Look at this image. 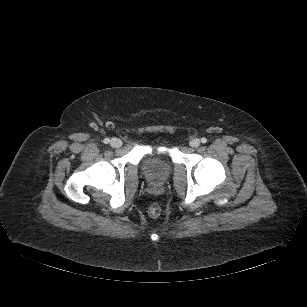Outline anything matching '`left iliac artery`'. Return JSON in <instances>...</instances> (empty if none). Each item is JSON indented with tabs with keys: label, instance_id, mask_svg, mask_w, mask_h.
I'll use <instances>...</instances> for the list:
<instances>
[{
	"label": "left iliac artery",
	"instance_id": "1",
	"mask_svg": "<svg viewBox=\"0 0 307 307\" xmlns=\"http://www.w3.org/2000/svg\"><path fill=\"white\" fill-rule=\"evenodd\" d=\"M201 142L202 143H206L207 142V139L205 137L201 138Z\"/></svg>",
	"mask_w": 307,
	"mask_h": 307
}]
</instances>
